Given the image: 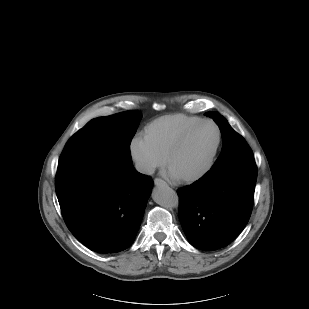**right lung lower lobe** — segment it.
<instances>
[{
	"label": "right lung lower lobe",
	"mask_w": 309,
	"mask_h": 309,
	"mask_svg": "<svg viewBox=\"0 0 309 309\" xmlns=\"http://www.w3.org/2000/svg\"><path fill=\"white\" fill-rule=\"evenodd\" d=\"M152 186L131 160L96 155L56 180V194L71 233L92 251L114 253L133 243Z\"/></svg>",
	"instance_id": "1"
}]
</instances>
